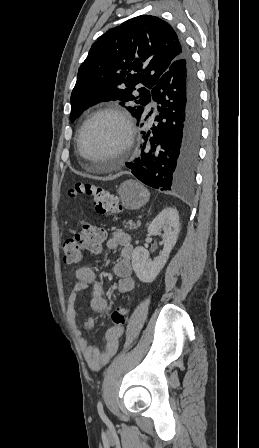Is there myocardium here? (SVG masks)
Listing matches in <instances>:
<instances>
[{
  "label": "myocardium",
  "mask_w": 259,
  "mask_h": 448,
  "mask_svg": "<svg viewBox=\"0 0 259 448\" xmlns=\"http://www.w3.org/2000/svg\"><path fill=\"white\" fill-rule=\"evenodd\" d=\"M114 116L118 118L123 125V135L120 141L113 147V157L120 158L123 157L131 148L133 137H134V123L130 114L122 107L119 106H108L96 110L83 122L79 129L77 140H76V155L78 159L81 160L82 151V136L87 128V126L95 119L101 116Z\"/></svg>",
  "instance_id": "myocardium-1"
}]
</instances>
